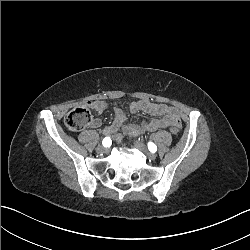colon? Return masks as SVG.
Here are the masks:
<instances>
[{"label":"colon","instance_id":"1","mask_svg":"<svg viewBox=\"0 0 250 250\" xmlns=\"http://www.w3.org/2000/svg\"><path fill=\"white\" fill-rule=\"evenodd\" d=\"M91 122V112L83 106L74 107L64 116L65 127L72 132L83 130ZM170 133L176 136L179 130L176 126L170 127Z\"/></svg>","mask_w":250,"mask_h":250}]
</instances>
